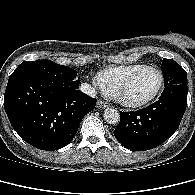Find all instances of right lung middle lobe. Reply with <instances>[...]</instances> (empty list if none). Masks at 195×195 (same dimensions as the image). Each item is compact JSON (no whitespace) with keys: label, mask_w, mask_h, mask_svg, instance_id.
<instances>
[{"label":"right lung middle lobe","mask_w":195,"mask_h":195,"mask_svg":"<svg viewBox=\"0 0 195 195\" xmlns=\"http://www.w3.org/2000/svg\"><path fill=\"white\" fill-rule=\"evenodd\" d=\"M13 73H30L44 76L60 83L63 89L71 87L73 85L71 82L76 81L77 76L76 70L50 60L24 61Z\"/></svg>","instance_id":"1"}]
</instances>
